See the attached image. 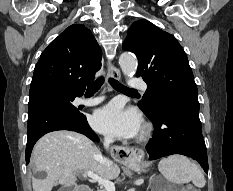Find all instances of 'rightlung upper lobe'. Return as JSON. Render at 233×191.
Returning a JSON list of instances; mask_svg holds the SVG:
<instances>
[{"label":"right lung upper lobe","mask_w":233,"mask_h":191,"mask_svg":"<svg viewBox=\"0 0 233 191\" xmlns=\"http://www.w3.org/2000/svg\"><path fill=\"white\" fill-rule=\"evenodd\" d=\"M102 52L91 31L71 25L43 51L35 66L30 97L43 91L83 94L101 68Z\"/></svg>","instance_id":"obj_1"}]
</instances>
